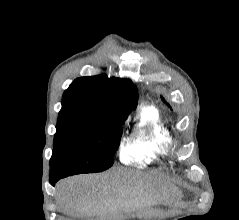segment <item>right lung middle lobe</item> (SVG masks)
<instances>
[{
    "instance_id": "dd1d6c3e",
    "label": "right lung middle lobe",
    "mask_w": 239,
    "mask_h": 220,
    "mask_svg": "<svg viewBox=\"0 0 239 220\" xmlns=\"http://www.w3.org/2000/svg\"><path fill=\"white\" fill-rule=\"evenodd\" d=\"M126 119L58 121L50 159V179L101 172L113 165Z\"/></svg>"
}]
</instances>
